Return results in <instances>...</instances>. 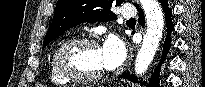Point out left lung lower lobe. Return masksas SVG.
<instances>
[{
	"label": "left lung lower lobe",
	"mask_w": 205,
	"mask_h": 87,
	"mask_svg": "<svg viewBox=\"0 0 205 87\" xmlns=\"http://www.w3.org/2000/svg\"><path fill=\"white\" fill-rule=\"evenodd\" d=\"M159 2L161 3L162 5V8L164 10V13H165V19H166V27H167V36H166V40H165V45H164V48H163V52H162V57H161V61L160 63L158 64V66L156 67L154 73L152 74L151 78L149 79V83H148V86L150 87H157L159 85V71H160V66L162 65V63L164 62L165 58H166V55L170 49V43H171V38H170V35H171V32L173 31V23H172V19H171V16H172V12H171V9L169 7V4H168V0H159ZM138 11H139V20H138V23L140 25H143L144 26V14H143V11L142 9H139L138 8ZM120 78H127L129 79L130 81L132 82H137V77L134 75V74H129V72H125L124 74H122L120 76ZM142 84H144V82H140Z\"/></svg>",
	"instance_id": "1"
}]
</instances>
